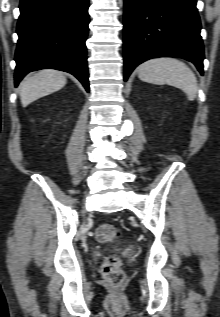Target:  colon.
<instances>
[{
    "instance_id": "5ec220e1",
    "label": "colon",
    "mask_w": 220,
    "mask_h": 317,
    "mask_svg": "<svg viewBox=\"0 0 220 317\" xmlns=\"http://www.w3.org/2000/svg\"><path fill=\"white\" fill-rule=\"evenodd\" d=\"M118 236V229L111 224L104 223L96 229V239L100 242H109ZM101 274L105 282L111 287H118L125 281V273L121 268L120 259L116 255H109L104 259Z\"/></svg>"
}]
</instances>
